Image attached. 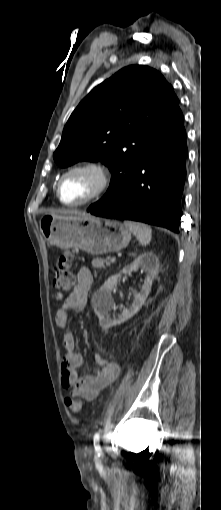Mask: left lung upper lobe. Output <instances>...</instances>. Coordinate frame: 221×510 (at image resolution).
Instances as JSON below:
<instances>
[{
	"label": "left lung upper lobe",
	"mask_w": 221,
	"mask_h": 510,
	"mask_svg": "<svg viewBox=\"0 0 221 510\" xmlns=\"http://www.w3.org/2000/svg\"><path fill=\"white\" fill-rule=\"evenodd\" d=\"M183 120L178 98L160 72L128 66L80 102L53 158L61 167L81 160L108 166L110 186L94 204L103 205L127 187L152 148L185 130Z\"/></svg>",
	"instance_id": "left-lung-upper-lobe-1"
}]
</instances>
